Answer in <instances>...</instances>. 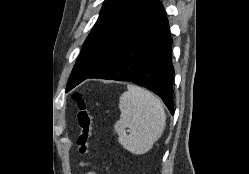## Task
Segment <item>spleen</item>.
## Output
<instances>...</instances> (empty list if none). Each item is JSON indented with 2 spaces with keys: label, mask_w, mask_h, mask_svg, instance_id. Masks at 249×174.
Returning a JSON list of instances; mask_svg holds the SVG:
<instances>
[{
  "label": "spleen",
  "mask_w": 249,
  "mask_h": 174,
  "mask_svg": "<svg viewBox=\"0 0 249 174\" xmlns=\"http://www.w3.org/2000/svg\"><path fill=\"white\" fill-rule=\"evenodd\" d=\"M127 89L120 96L121 115L114 128L123 148L142 155L161 137L166 116L161 101L155 95L135 85H127ZM126 128H129V135Z\"/></svg>",
  "instance_id": "obj_1"
}]
</instances>
